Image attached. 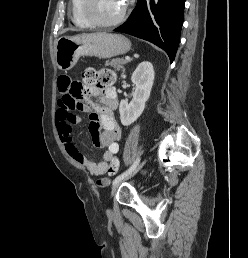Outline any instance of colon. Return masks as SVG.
<instances>
[{
	"mask_svg": "<svg viewBox=\"0 0 248 258\" xmlns=\"http://www.w3.org/2000/svg\"><path fill=\"white\" fill-rule=\"evenodd\" d=\"M115 81V73L111 69L87 68L82 74V82H76V86H71V91L76 97H80L85 87L110 86ZM119 171V161L114 158L109 166L110 175H115Z\"/></svg>",
	"mask_w": 248,
	"mask_h": 258,
	"instance_id": "colon-1",
	"label": "colon"
}]
</instances>
